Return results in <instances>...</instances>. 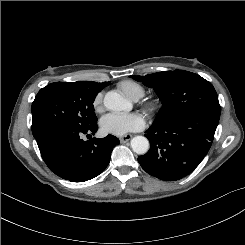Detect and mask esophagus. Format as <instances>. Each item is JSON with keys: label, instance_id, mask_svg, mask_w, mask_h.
Segmentation results:
<instances>
[{"label": "esophagus", "instance_id": "1", "mask_svg": "<svg viewBox=\"0 0 245 245\" xmlns=\"http://www.w3.org/2000/svg\"><path fill=\"white\" fill-rule=\"evenodd\" d=\"M131 138H132V135H124V136L119 137V140L121 143H125V142H128Z\"/></svg>", "mask_w": 245, "mask_h": 245}]
</instances>
